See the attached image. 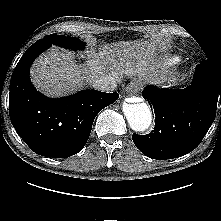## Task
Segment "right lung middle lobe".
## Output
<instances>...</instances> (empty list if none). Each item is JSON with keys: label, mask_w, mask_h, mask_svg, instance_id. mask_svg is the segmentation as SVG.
<instances>
[{"label": "right lung middle lobe", "mask_w": 221, "mask_h": 221, "mask_svg": "<svg viewBox=\"0 0 221 221\" xmlns=\"http://www.w3.org/2000/svg\"><path fill=\"white\" fill-rule=\"evenodd\" d=\"M43 41H48L53 45H58L61 47L65 48H70V49H84L85 43L77 38L74 37H66L62 35H57V34H50L45 36L43 39H40Z\"/></svg>", "instance_id": "right-lung-middle-lobe-1"}]
</instances>
